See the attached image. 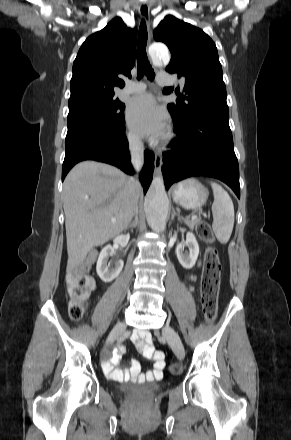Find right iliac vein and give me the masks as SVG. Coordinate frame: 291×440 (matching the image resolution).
I'll return each mask as SVG.
<instances>
[{
  "instance_id": "1",
  "label": "right iliac vein",
  "mask_w": 291,
  "mask_h": 440,
  "mask_svg": "<svg viewBox=\"0 0 291 440\" xmlns=\"http://www.w3.org/2000/svg\"><path fill=\"white\" fill-rule=\"evenodd\" d=\"M124 327L123 323H119L109 334L107 339V344L113 343L115 340H117L120 336V331Z\"/></svg>"
}]
</instances>
